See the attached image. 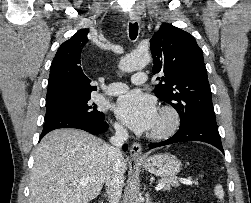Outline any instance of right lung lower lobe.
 I'll list each match as a JSON object with an SVG mask.
<instances>
[{"mask_svg": "<svg viewBox=\"0 0 251 203\" xmlns=\"http://www.w3.org/2000/svg\"><path fill=\"white\" fill-rule=\"evenodd\" d=\"M58 128H76L85 130L91 134H101L108 129L105 121H99L84 115H63L45 121L40 139L48 132ZM123 150H127V145H123Z\"/></svg>", "mask_w": 251, "mask_h": 203, "instance_id": "1", "label": "right lung lower lobe"}]
</instances>
